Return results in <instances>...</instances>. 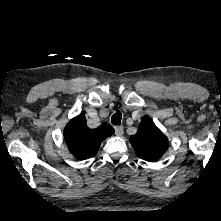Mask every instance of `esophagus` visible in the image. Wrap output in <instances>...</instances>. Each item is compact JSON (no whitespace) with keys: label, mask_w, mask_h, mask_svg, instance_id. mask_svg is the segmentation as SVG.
<instances>
[{"label":"esophagus","mask_w":221,"mask_h":221,"mask_svg":"<svg viewBox=\"0 0 221 221\" xmlns=\"http://www.w3.org/2000/svg\"><path fill=\"white\" fill-rule=\"evenodd\" d=\"M114 129L117 136H121L124 132L122 126H115Z\"/></svg>","instance_id":"obj_1"}]
</instances>
